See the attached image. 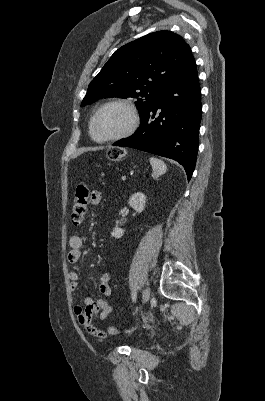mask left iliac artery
I'll return each instance as SVG.
<instances>
[{
  "label": "left iliac artery",
  "mask_w": 265,
  "mask_h": 401,
  "mask_svg": "<svg viewBox=\"0 0 265 401\" xmlns=\"http://www.w3.org/2000/svg\"><path fill=\"white\" fill-rule=\"evenodd\" d=\"M136 295H137L136 291H133L132 292V300L133 301H136Z\"/></svg>",
  "instance_id": "44dca946"
}]
</instances>
